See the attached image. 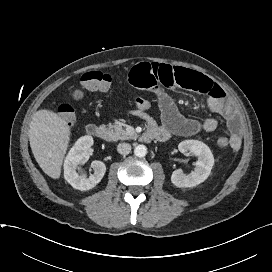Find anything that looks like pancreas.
<instances>
[{
  "label": "pancreas",
  "mask_w": 272,
  "mask_h": 272,
  "mask_svg": "<svg viewBox=\"0 0 272 272\" xmlns=\"http://www.w3.org/2000/svg\"><path fill=\"white\" fill-rule=\"evenodd\" d=\"M107 139L110 141L129 140L133 135L129 134L120 124H109L107 126Z\"/></svg>",
  "instance_id": "pancreas-1"
}]
</instances>
